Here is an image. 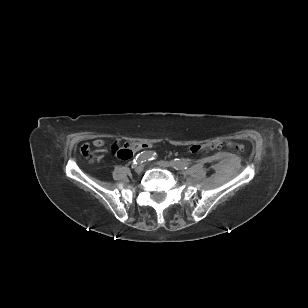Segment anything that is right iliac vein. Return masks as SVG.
<instances>
[{
	"label": "right iliac vein",
	"mask_w": 308,
	"mask_h": 308,
	"mask_svg": "<svg viewBox=\"0 0 308 308\" xmlns=\"http://www.w3.org/2000/svg\"><path fill=\"white\" fill-rule=\"evenodd\" d=\"M144 170V165H138L135 167L137 173H141Z\"/></svg>",
	"instance_id": "right-iliac-vein-1"
}]
</instances>
